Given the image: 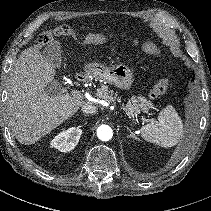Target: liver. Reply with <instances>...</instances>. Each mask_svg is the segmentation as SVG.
I'll return each instance as SVG.
<instances>
[{
    "label": "liver",
    "mask_w": 211,
    "mask_h": 211,
    "mask_svg": "<svg viewBox=\"0 0 211 211\" xmlns=\"http://www.w3.org/2000/svg\"><path fill=\"white\" fill-rule=\"evenodd\" d=\"M54 75L55 68L41 55L39 45L25 49L14 63L7 113L22 144L35 143L86 104L66 93Z\"/></svg>",
    "instance_id": "1"
}]
</instances>
